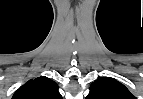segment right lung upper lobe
I'll return each mask as SVG.
<instances>
[{
  "label": "right lung upper lobe",
  "instance_id": "obj_1",
  "mask_svg": "<svg viewBox=\"0 0 143 99\" xmlns=\"http://www.w3.org/2000/svg\"><path fill=\"white\" fill-rule=\"evenodd\" d=\"M12 99H62L58 85L45 76L29 80L13 95Z\"/></svg>",
  "mask_w": 143,
  "mask_h": 99
}]
</instances>
